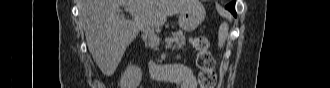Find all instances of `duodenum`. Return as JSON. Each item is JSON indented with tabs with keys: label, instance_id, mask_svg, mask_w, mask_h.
<instances>
[{
	"label": "duodenum",
	"instance_id": "1",
	"mask_svg": "<svg viewBox=\"0 0 330 88\" xmlns=\"http://www.w3.org/2000/svg\"><path fill=\"white\" fill-rule=\"evenodd\" d=\"M169 65L149 63L147 69L152 78L159 81H170L167 70Z\"/></svg>",
	"mask_w": 330,
	"mask_h": 88
}]
</instances>
